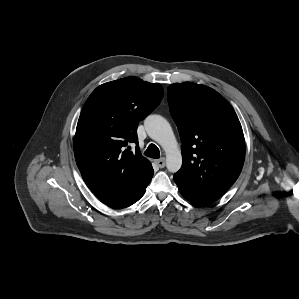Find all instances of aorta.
<instances>
[{"instance_id":"1","label":"aorta","mask_w":299,"mask_h":299,"mask_svg":"<svg viewBox=\"0 0 299 299\" xmlns=\"http://www.w3.org/2000/svg\"><path fill=\"white\" fill-rule=\"evenodd\" d=\"M148 136L156 141L166 153V167L175 173L182 165V155L169 122L160 115H149L144 121Z\"/></svg>"}]
</instances>
